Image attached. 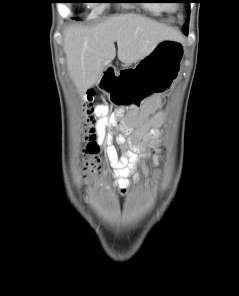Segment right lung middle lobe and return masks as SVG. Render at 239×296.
I'll return each mask as SVG.
<instances>
[{
    "instance_id": "obj_1",
    "label": "right lung middle lobe",
    "mask_w": 239,
    "mask_h": 296,
    "mask_svg": "<svg viewBox=\"0 0 239 296\" xmlns=\"http://www.w3.org/2000/svg\"><path fill=\"white\" fill-rule=\"evenodd\" d=\"M71 2H76V3H87V2L107 3V2H111V1L110 0H72Z\"/></svg>"
}]
</instances>
